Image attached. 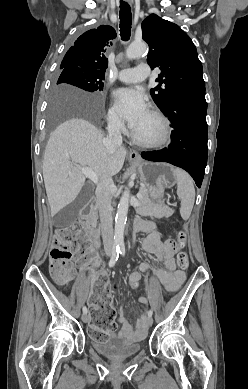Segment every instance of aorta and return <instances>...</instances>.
<instances>
[{
	"mask_svg": "<svg viewBox=\"0 0 248 389\" xmlns=\"http://www.w3.org/2000/svg\"><path fill=\"white\" fill-rule=\"evenodd\" d=\"M146 51V43H131L126 49V58L129 60L136 59L144 55ZM129 198L130 191L129 189H126L118 204V210L115 218L114 244L117 248L124 247V229L127 221Z\"/></svg>",
	"mask_w": 248,
	"mask_h": 389,
	"instance_id": "1",
	"label": "aorta"
}]
</instances>
